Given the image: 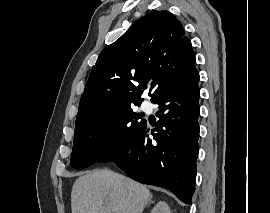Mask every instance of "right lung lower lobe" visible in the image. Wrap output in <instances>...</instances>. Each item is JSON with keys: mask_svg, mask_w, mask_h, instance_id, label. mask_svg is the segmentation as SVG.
Instances as JSON below:
<instances>
[{"mask_svg": "<svg viewBox=\"0 0 270 213\" xmlns=\"http://www.w3.org/2000/svg\"><path fill=\"white\" fill-rule=\"evenodd\" d=\"M199 74L194 67L179 82L152 102L159 105L160 120L151 130L145 121L100 162H115L132 179L170 189L191 204L198 157Z\"/></svg>", "mask_w": 270, "mask_h": 213, "instance_id": "98d812e1", "label": "right lung lower lobe"}]
</instances>
